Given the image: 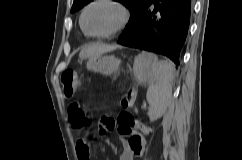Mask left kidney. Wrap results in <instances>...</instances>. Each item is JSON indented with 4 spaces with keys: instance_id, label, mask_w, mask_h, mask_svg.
Segmentation results:
<instances>
[{
    "instance_id": "left-kidney-1",
    "label": "left kidney",
    "mask_w": 242,
    "mask_h": 160,
    "mask_svg": "<svg viewBox=\"0 0 242 160\" xmlns=\"http://www.w3.org/2000/svg\"><path fill=\"white\" fill-rule=\"evenodd\" d=\"M166 108L165 107H161L159 109L156 110H151V107H149V118L151 122L156 121L157 119H159L165 112Z\"/></svg>"
}]
</instances>
